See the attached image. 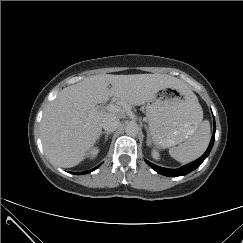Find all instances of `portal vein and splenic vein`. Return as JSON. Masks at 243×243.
Wrapping results in <instances>:
<instances>
[{
  "label": "portal vein and splenic vein",
  "mask_w": 243,
  "mask_h": 243,
  "mask_svg": "<svg viewBox=\"0 0 243 243\" xmlns=\"http://www.w3.org/2000/svg\"><path fill=\"white\" fill-rule=\"evenodd\" d=\"M106 110H108L109 112H113V113H119L121 111V108L117 105L109 104L106 107Z\"/></svg>",
  "instance_id": "portal-vein-and-splenic-vein-1"
}]
</instances>
